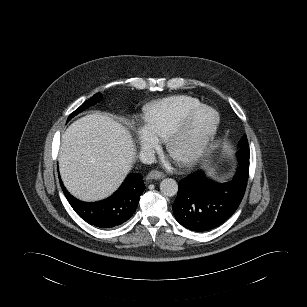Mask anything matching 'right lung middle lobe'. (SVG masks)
I'll use <instances>...</instances> for the list:
<instances>
[{
	"label": "right lung middle lobe",
	"mask_w": 307,
	"mask_h": 307,
	"mask_svg": "<svg viewBox=\"0 0 307 307\" xmlns=\"http://www.w3.org/2000/svg\"><path fill=\"white\" fill-rule=\"evenodd\" d=\"M101 98V94H95L92 98H90L89 100H87L85 103H83L77 110H75L68 118V121L75 116L76 114H78L79 112H81L82 110H84L86 107L93 105L94 103H96L97 101H99Z\"/></svg>",
	"instance_id": "obj_1"
}]
</instances>
